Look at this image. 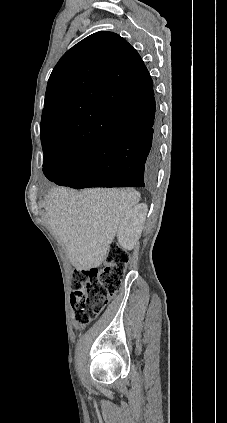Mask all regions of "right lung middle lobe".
<instances>
[{"label": "right lung middle lobe", "instance_id": "dd1d6c3e", "mask_svg": "<svg viewBox=\"0 0 227 423\" xmlns=\"http://www.w3.org/2000/svg\"><path fill=\"white\" fill-rule=\"evenodd\" d=\"M42 146L44 153V163L52 161L59 162L63 160L71 161L80 158L85 153L83 150L73 149L51 141H42Z\"/></svg>", "mask_w": 227, "mask_h": 423}]
</instances>
